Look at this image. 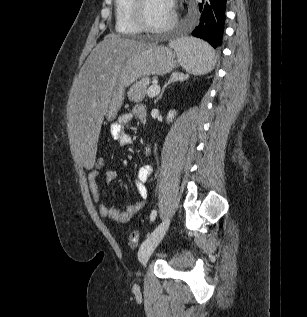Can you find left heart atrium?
Listing matches in <instances>:
<instances>
[{
	"mask_svg": "<svg viewBox=\"0 0 307 317\" xmlns=\"http://www.w3.org/2000/svg\"><path fill=\"white\" fill-rule=\"evenodd\" d=\"M168 3L173 8V5H174L173 0H168Z\"/></svg>",
	"mask_w": 307,
	"mask_h": 317,
	"instance_id": "obj_1",
	"label": "left heart atrium"
}]
</instances>
